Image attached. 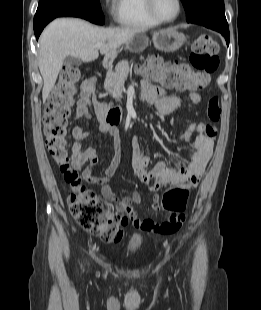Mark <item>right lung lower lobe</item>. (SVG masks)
<instances>
[{
	"mask_svg": "<svg viewBox=\"0 0 261 310\" xmlns=\"http://www.w3.org/2000/svg\"><path fill=\"white\" fill-rule=\"evenodd\" d=\"M54 18H50V19H47V20H44L42 22H40L38 25H35L34 26V33H35V36L36 38L38 39V37L40 36L42 30L44 29V27L50 22L52 21Z\"/></svg>",
	"mask_w": 261,
	"mask_h": 310,
	"instance_id": "1",
	"label": "right lung lower lobe"
}]
</instances>
